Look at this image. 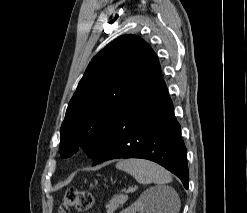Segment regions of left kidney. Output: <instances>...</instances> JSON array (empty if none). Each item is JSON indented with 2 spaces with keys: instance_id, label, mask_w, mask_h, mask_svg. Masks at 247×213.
Listing matches in <instances>:
<instances>
[{
  "instance_id": "left-kidney-1",
  "label": "left kidney",
  "mask_w": 247,
  "mask_h": 213,
  "mask_svg": "<svg viewBox=\"0 0 247 213\" xmlns=\"http://www.w3.org/2000/svg\"><path fill=\"white\" fill-rule=\"evenodd\" d=\"M159 210L158 193L153 190H146L136 202L120 213H161Z\"/></svg>"
}]
</instances>
